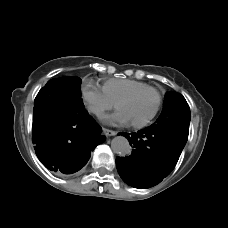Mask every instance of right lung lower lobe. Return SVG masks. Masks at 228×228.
<instances>
[{
	"label": "right lung lower lobe",
	"mask_w": 228,
	"mask_h": 228,
	"mask_svg": "<svg viewBox=\"0 0 228 228\" xmlns=\"http://www.w3.org/2000/svg\"><path fill=\"white\" fill-rule=\"evenodd\" d=\"M32 131L38 159L49 170L65 174L80 170L91 151L105 140L83 102L65 101L50 83L35 98Z\"/></svg>",
	"instance_id": "1"
}]
</instances>
